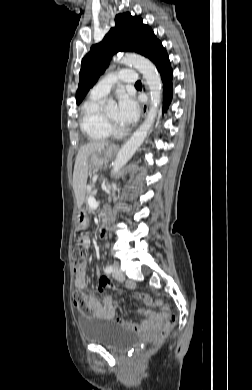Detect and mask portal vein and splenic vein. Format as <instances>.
<instances>
[{
  "label": "portal vein and splenic vein",
  "mask_w": 252,
  "mask_h": 390,
  "mask_svg": "<svg viewBox=\"0 0 252 390\" xmlns=\"http://www.w3.org/2000/svg\"><path fill=\"white\" fill-rule=\"evenodd\" d=\"M97 190L94 191V193H96ZM88 203H89V206L92 207V208H97L98 207V202L95 201L94 197H89L88 199Z\"/></svg>",
  "instance_id": "1"
}]
</instances>
